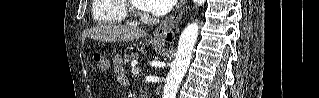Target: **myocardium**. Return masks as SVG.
I'll list each match as a JSON object with an SVG mask.
<instances>
[{
	"mask_svg": "<svg viewBox=\"0 0 319 98\" xmlns=\"http://www.w3.org/2000/svg\"><path fill=\"white\" fill-rule=\"evenodd\" d=\"M128 15L133 17H139L143 15V10L141 7L133 0L125 1Z\"/></svg>",
	"mask_w": 319,
	"mask_h": 98,
	"instance_id": "f54148a6",
	"label": "myocardium"
}]
</instances>
